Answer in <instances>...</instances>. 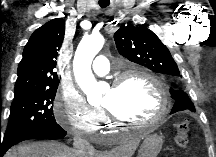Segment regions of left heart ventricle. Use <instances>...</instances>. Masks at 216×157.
I'll list each match as a JSON object with an SVG mask.
<instances>
[{"label":"left heart ventricle","instance_id":"1","mask_svg":"<svg viewBox=\"0 0 216 157\" xmlns=\"http://www.w3.org/2000/svg\"><path fill=\"white\" fill-rule=\"evenodd\" d=\"M102 105L109 107L120 117L145 121L156 115L160 107V97L150 82L143 78L131 77L118 89L110 88Z\"/></svg>","mask_w":216,"mask_h":157}]
</instances>
